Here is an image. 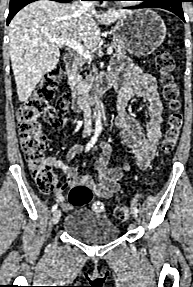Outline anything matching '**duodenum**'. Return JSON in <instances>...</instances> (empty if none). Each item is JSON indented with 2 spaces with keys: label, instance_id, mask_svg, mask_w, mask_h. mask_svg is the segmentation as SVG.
<instances>
[{
  "label": "duodenum",
  "instance_id": "410a0bca",
  "mask_svg": "<svg viewBox=\"0 0 193 287\" xmlns=\"http://www.w3.org/2000/svg\"><path fill=\"white\" fill-rule=\"evenodd\" d=\"M66 71H67V83L70 89H72L75 93L74 99L72 101V110L74 112H79L86 109L92 101L98 97V93H95L91 99L88 98L85 92L76 91L75 80L73 76V70L77 63V58L75 53L70 51L67 52L64 58ZM110 86V80L104 79L101 82V86L98 92L106 91Z\"/></svg>",
  "mask_w": 193,
  "mask_h": 287
}]
</instances>
